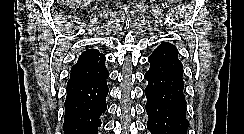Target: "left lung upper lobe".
I'll list each match as a JSON object with an SVG mask.
<instances>
[{"mask_svg":"<svg viewBox=\"0 0 244 134\" xmlns=\"http://www.w3.org/2000/svg\"><path fill=\"white\" fill-rule=\"evenodd\" d=\"M148 61L150 69L147 72L160 84L167 87H184L182 63L173 44L162 42L149 56Z\"/></svg>","mask_w":244,"mask_h":134,"instance_id":"1","label":"left lung upper lobe"}]
</instances>
